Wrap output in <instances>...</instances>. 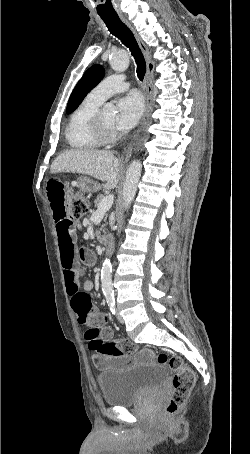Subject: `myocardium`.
<instances>
[{"mask_svg": "<svg viewBox=\"0 0 250 454\" xmlns=\"http://www.w3.org/2000/svg\"><path fill=\"white\" fill-rule=\"evenodd\" d=\"M91 127L94 135L101 144L111 143L117 139V133L114 128H108L101 119V111H97L91 119Z\"/></svg>", "mask_w": 250, "mask_h": 454, "instance_id": "obj_1", "label": "myocardium"}]
</instances>
